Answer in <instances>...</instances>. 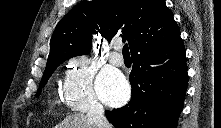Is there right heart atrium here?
<instances>
[{"label":"right heart atrium","instance_id":"obj_1","mask_svg":"<svg viewBox=\"0 0 221 128\" xmlns=\"http://www.w3.org/2000/svg\"><path fill=\"white\" fill-rule=\"evenodd\" d=\"M94 77L95 70L86 56L77 55L69 59L62 86L67 107L79 113L89 107H101L94 89Z\"/></svg>","mask_w":221,"mask_h":128}]
</instances>
